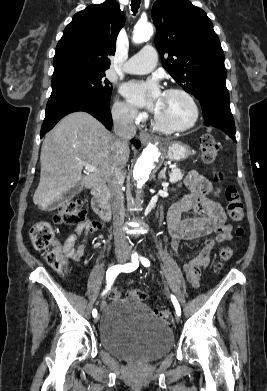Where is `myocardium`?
<instances>
[{
    "label": "myocardium",
    "instance_id": "obj_1",
    "mask_svg": "<svg viewBox=\"0 0 267 391\" xmlns=\"http://www.w3.org/2000/svg\"><path fill=\"white\" fill-rule=\"evenodd\" d=\"M165 93H177L185 97L192 108V118L187 124L176 126L162 121L155 115L154 122L156 126L169 132H182L193 128L197 124L200 117V109L194 96L189 91L179 87L168 88L165 90Z\"/></svg>",
    "mask_w": 267,
    "mask_h": 391
}]
</instances>
